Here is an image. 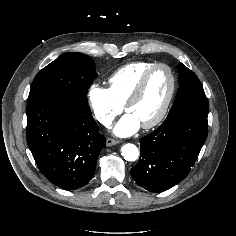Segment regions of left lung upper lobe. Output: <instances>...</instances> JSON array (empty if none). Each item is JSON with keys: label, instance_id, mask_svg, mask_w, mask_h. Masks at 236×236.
Masks as SVG:
<instances>
[{"label": "left lung upper lobe", "instance_id": "obj_1", "mask_svg": "<svg viewBox=\"0 0 236 236\" xmlns=\"http://www.w3.org/2000/svg\"><path fill=\"white\" fill-rule=\"evenodd\" d=\"M179 89L175 102L166 118L181 115L208 116V102L197 75L180 63L178 66Z\"/></svg>", "mask_w": 236, "mask_h": 236}]
</instances>
